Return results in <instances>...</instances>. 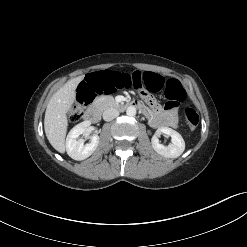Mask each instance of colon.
Wrapping results in <instances>:
<instances>
[{
    "label": "colon",
    "instance_id": "1",
    "mask_svg": "<svg viewBox=\"0 0 247 247\" xmlns=\"http://www.w3.org/2000/svg\"><path fill=\"white\" fill-rule=\"evenodd\" d=\"M140 91L156 93L164 91L169 107H176L186 97V92L179 81L165 80L162 76L153 73H131L127 65L111 66L107 71H97L87 76L78 90V101L74 105L71 119L78 121L84 114L87 105L95 96L100 94H113L129 89L131 85ZM184 117L187 126L194 130L199 124V115L192 107H186Z\"/></svg>",
    "mask_w": 247,
    "mask_h": 247
}]
</instances>
